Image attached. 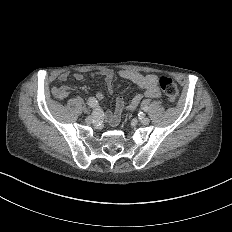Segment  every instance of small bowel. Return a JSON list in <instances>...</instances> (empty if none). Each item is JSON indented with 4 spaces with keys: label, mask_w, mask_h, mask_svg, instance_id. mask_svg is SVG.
Segmentation results:
<instances>
[{
    "label": "small bowel",
    "mask_w": 232,
    "mask_h": 232,
    "mask_svg": "<svg viewBox=\"0 0 232 232\" xmlns=\"http://www.w3.org/2000/svg\"><path fill=\"white\" fill-rule=\"evenodd\" d=\"M96 75L102 76L106 82L108 83V91L109 93L113 94L117 92V88L112 85V81L115 77V71L112 69H100L96 71ZM119 75L122 78L126 79H132L135 82H137L143 89L144 94L146 96L159 99L161 97L160 91L157 87L159 83V77L155 73H143L138 70H131V69H122L119 71ZM75 79V80H81L82 75L80 73H68L64 72L60 74L59 79L61 81H66L69 78ZM73 88L69 86H52L50 88L51 93H68L72 91ZM96 96L98 99L104 98V91L99 89L96 93ZM142 100L141 94H136L132 97L131 101L128 104L129 110H134ZM125 106V96L120 93L117 97V107L115 112L109 111L107 114V120L110 124L116 123L121 115V112L123 111Z\"/></svg>",
    "instance_id": "small-bowel-1"
}]
</instances>
